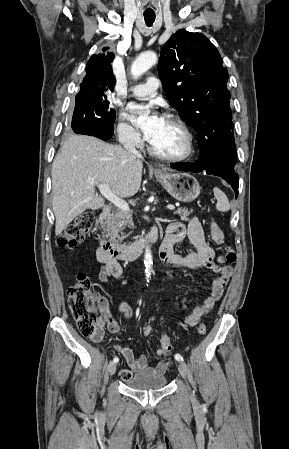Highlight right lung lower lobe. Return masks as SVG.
<instances>
[{
  "mask_svg": "<svg viewBox=\"0 0 289 449\" xmlns=\"http://www.w3.org/2000/svg\"><path fill=\"white\" fill-rule=\"evenodd\" d=\"M75 133L84 134V135H92L98 137L102 140H108L113 135V132H105L103 130L97 129L88 124H82L80 128H78Z\"/></svg>",
  "mask_w": 289,
  "mask_h": 449,
  "instance_id": "right-lung-lower-lobe-1",
  "label": "right lung lower lobe"
}]
</instances>
